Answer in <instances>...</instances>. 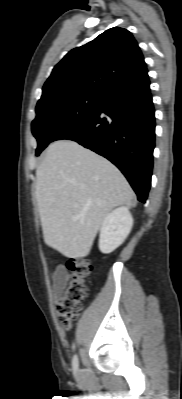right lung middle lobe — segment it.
Returning a JSON list of instances; mask_svg holds the SVG:
<instances>
[{
    "instance_id": "obj_1",
    "label": "right lung middle lobe",
    "mask_w": 182,
    "mask_h": 399,
    "mask_svg": "<svg viewBox=\"0 0 182 399\" xmlns=\"http://www.w3.org/2000/svg\"><path fill=\"white\" fill-rule=\"evenodd\" d=\"M104 96L75 94L61 96L37 103L32 133L37 139L36 155L53 141L60 131L93 115L101 107Z\"/></svg>"
}]
</instances>
